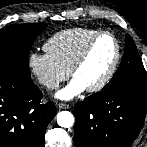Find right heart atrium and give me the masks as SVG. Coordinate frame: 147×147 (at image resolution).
I'll list each match as a JSON object with an SVG mask.
<instances>
[{
	"label": "right heart atrium",
	"instance_id": "right-heart-atrium-1",
	"mask_svg": "<svg viewBox=\"0 0 147 147\" xmlns=\"http://www.w3.org/2000/svg\"><path fill=\"white\" fill-rule=\"evenodd\" d=\"M30 73L43 88L51 91L69 77V70L58 64L47 52H32L28 56Z\"/></svg>",
	"mask_w": 147,
	"mask_h": 147
}]
</instances>
